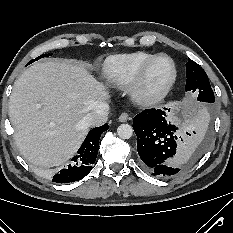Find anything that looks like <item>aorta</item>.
Returning <instances> with one entry per match:
<instances>
[{"mask_svg":"<svg viewBox=\"0 0 233 233\" xmlns=\"http://www.w3.org/2000/svg\"><path fill=\"white\" fill-rule=\"evenodd\" d=\"M117 134L122 139H129L133 134V128L129 124H121L117 128Z\"/></svg>","mask_w":233,"mask_h":233,"instance_id":"762f6f07","label":"aorta"}]
</instances>
